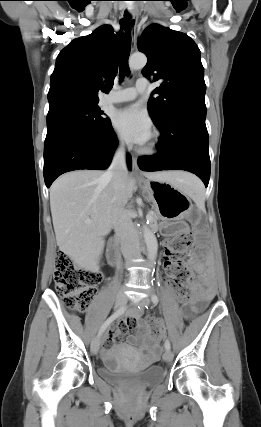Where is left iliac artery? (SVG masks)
I'll use <instances>...</instances> for the list:
<instances>
[{
  "mask_svg": "<svg viewBox=\"0 0 261 427\" xmlns=\"http://www.w3.org/2000/svg\"><path fill=\"white\" fill-rule=\"evenodd\" d=\"M151 300H152V302L154 304H157L158 303V297H157V295L156 294H152L151 295ZM145 307L148 308L147 305ZM164 346H165L166 350H170L171 345H170V342H169L168 339L165 340Z\"/></svg>",
  "mask_w": 261,
  "mask_h": 427,
  "instance_id": "44dca946",
  "label": "left iliac artery"
}]
</instances>
